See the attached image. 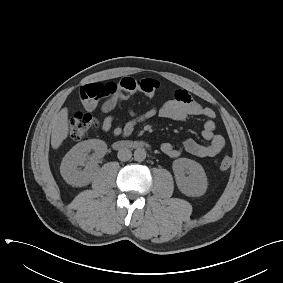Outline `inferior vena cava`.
Listing matches in <instances>:
<instances>
[{
  "label": "inferior vena cava",
  "mask_w": 283,
  "mask_h": 283,
  "mask_svg": "<svg viewBox=\"0 0 283 283\" xmlns=\"http://www.w3.org/2000/svg\"><path fill=\"white\" fill-rule=\"evenodd\" d=\"M117 157L120 161H128L132 157V152L127 148L118 151Z\"/></svg>",
  "instance_id": "602c4592"
}]
</instances>
